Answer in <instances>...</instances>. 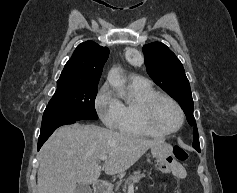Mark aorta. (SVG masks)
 Listing matches in <instances>:
<instances>
[{"label": "aorta", "mask_w": 237, "mask_h": 193, "mask_svg": "<svg viewBox=\"0 0 237 193\" xmlns=\"http://www.w3.org/2000/svg\"><path fill=\"white\" fill-rule=\"evenodd\" d=\"M107 79L112 87H120L122 84L120 69L117 67L112 68L108 74Z\"/></svg>", "instance_id": "1"}]
</instances>
